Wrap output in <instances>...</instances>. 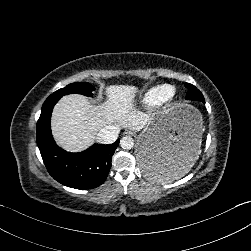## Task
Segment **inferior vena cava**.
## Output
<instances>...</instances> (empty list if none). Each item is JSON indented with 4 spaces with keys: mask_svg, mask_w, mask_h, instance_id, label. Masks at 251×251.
Instances as JSON below:
<instances>
[{
    "mask_svg": "<svg viewBox=\"0 0 251 251\" xmlns=\"http://www.w3.org/2000/svg\"><path fill=\"white\" fill-rule=\"evenodd\" d=\"M119 131L118 125L105 126L98 132L97 141L101 144H112L116 141Z\"/></svg>",
    "mask_w": 251,
    "mask_h": 251,
    "instance_id": "602c4592",
    "label": "inferior vena cava"
}]
</instances>
